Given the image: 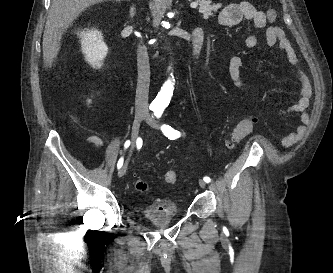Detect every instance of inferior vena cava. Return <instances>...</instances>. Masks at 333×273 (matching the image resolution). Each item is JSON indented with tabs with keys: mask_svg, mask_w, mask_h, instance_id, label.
Instances as JSON below:
<instances>
[{
	"mask_svg": "<svg viewBox=\"0 0 333 273\" xmlns=\"http://www.w3.org/2000/svg\"><path fill=\"white\" fill-rule=\"evenodd\" d=\"M138 81L135 97L136 113H145L148 110V93L150 84V66L147 49L139 45L137 48Z\"/></svg>",
	"mask_w": 333,
	"mask_h": 273,
	"instance_id": "obj_1",
	"label": "inferior vena cava"
}]
</instances>
